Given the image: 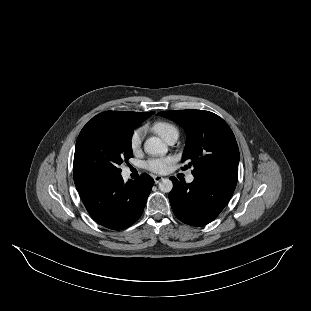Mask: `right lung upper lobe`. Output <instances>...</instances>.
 Listing matches in <instances>:
<instances>
[{"label":"right lung upper lobe","instance_id":"obj_1","mask_svg":"<svg viewBox=\"0 0 311 311\" xmlns=\"http://www.w3.org/2000/svg\"><path fill=\"white\" fill-rule=\"evenodd\" d=\"M153 113L154 112L138 113V112L107 111V112L100 113L99 115L107 116V117H110V118H113V119H118V120L132 121V120H142V119H145V118L147 119ZM87 181H90V180L74 178V182H75L76 188L79 187L81 184L87 182Z\"/></svg>","mask_w":311,"mask_h":311}]
</instances>
